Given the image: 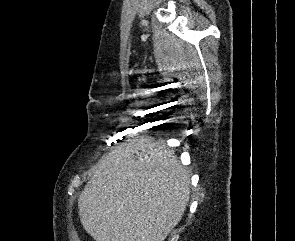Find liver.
I'll return each mask as SVG.
<instances>
[{"label":"liver","mask_w":295,"mask_h":241,"mask_svg":"<svg viewBox=\"0 0 295 241\" xmlns=\"http://www.w3.org/2000/svg\"><path fill=\"white\" fill-rule=\"evenodd\" d=\"M189 196L190 175L174 151L140 137L99 161L78 208L95 241H164Z\"/></svg>","instance_id":"liver-1"}]
</instances>
